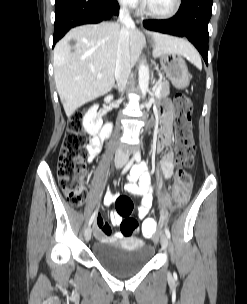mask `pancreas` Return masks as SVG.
<instances>
[{
	"mask_svg": "<svg viewBox=\"0 0 247 304\" xmlns=\"http://www.w3.org/2000/svg\"><path fill=\"white\" fill-rule=\"evenodd\" d=\"M161 86L159 94L157 95L158 98H164L169 95V90H170V84L167 80H162L157 82V86L155 87L156 89Z\"/></svg>",
	"mask_w": 247,
	"mask_h": 304,
	"instance_id": "cf45deb5",
	"label": "pancreas"
}]
</instances>
